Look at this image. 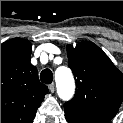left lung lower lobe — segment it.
Returning a JSON list of instances; mask_svg holds the SVG:
<instances>
[{"instance_id":"0a47b994","label":"left lung lower lobe","mask_w":123,"mask_h":123,"mask_svg":"<svg viewBox=\"0 0 123 123\" xmlns=\"http://www.w3.org/2000/svg\"><path fill=\"white\" fill-rule=\"evenodd\" d=\"M66 120L68 123H107L105 119L91 116L77 110L65 111Z\"/></svg>"}]
</instances>
